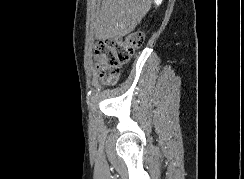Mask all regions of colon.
<instances>
[{
    "instance_id": "colon-1",
    "label": "colon",
    "mask_w": 244,
    "mask_h": 179,
    "mask_svg": "<svg viewBox=\"0 0 244 179\" xmlns=\"http://www.w3.org/2000/svg\"><path fill=\"white\" fill-rule=\"evenodd\" d=\"M144 34L136 30L128 38L111 39L97 45L99 75L112 85L120 76L122 65L128 64L131 54L141 47Z\"/></svg>"
}]
</instances>
